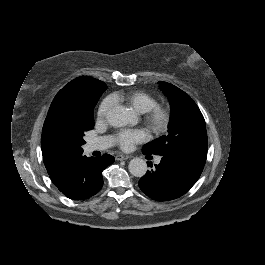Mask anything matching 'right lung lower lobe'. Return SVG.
Masks as SVG:
<instances>
[{
    "mask_svg": "<svg viewBox=\"0 0 265 265\" xmlns=\"http://www.w3.org/2000/svg\"><path fill=\"white\" fill-rule=\"evenodd\" d=\"M113 162L114 157L109 154L98 158L80 155L50 175V178L66 197L87 199L102 188V171Z\"/></svg>",
    "mask_w": 265,
    "mask_h": 265,
    "instance_id": "1",
    "label": "right lung lower lobe"
}]
</instances>
